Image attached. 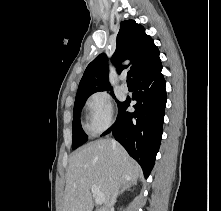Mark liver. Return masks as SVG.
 I'll list each match as a JSON object with an SVG mask.
<instances>
[{"label": "liver", "mask_w": 221, "mask_h": 211, "mask_svg": "<svg viewBox=\"0 0 221 211\" xmlns=\"http://www.w3.org/2000/svg\"><path fill=\"white\" fill-rule=\"evenodd\" d=\"M140 175L139 165L121 145L114 147L109 139L93 141L70 158L63 211H92L91 187L94 185L105 196V209L114 189L136 182Z\"/></svg>", "instance_id": "liver-1"}]
</instances>
